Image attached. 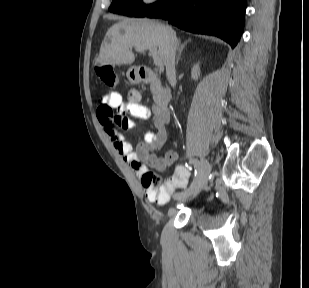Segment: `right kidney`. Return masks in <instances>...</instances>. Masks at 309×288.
<instances>
[{
  "label": "right kidney",
  "instance_id": "obj_1",
  "mask_svg": "<svg viewBox=\"0 0 309 288\" xmlns=\"http://www.w3.org/2000/svg\"><path fill=\"white\" fill-rule=\"evenodd\" d=\"M200 76V67H199V64H196L193 66L192 70H191V78L193 80H198Z\"/></svg>",
  "mask_w": 309,
  "mask_h": 288
}]
</instances>
